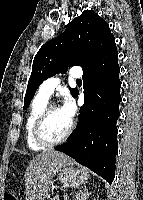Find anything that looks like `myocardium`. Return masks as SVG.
Returning a JSON list of instances; mask_svg holds the SVG:
<instances>
[{"instance_id":"1","label":"myocardium","mask_w":143,"mask_h":200,"mask_svg":"<svg viewBox=\"0 0 143 200\" xmlns=\"http://www.w3.org/2000/svg\"><path fill=\"white\" fill-rule=\"evenodd\" d=\"M59 108V106L56 103L49 102L39 117L37 118L34 127H33V137L35 141L44 147H52L58 144L63 143L68 139V137L71 135L73 131V122L70 123L68 129L66 132L58 139H50L45 134V125L48 120V117L53 109Z\"/></svg>"}]
</instances>
